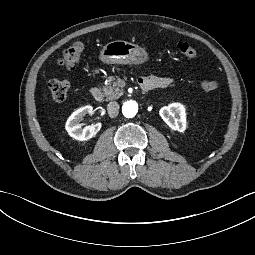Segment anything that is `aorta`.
<instances>
[{"instance_id": "aorta-1", "label": "aorta", "mask_w": 255, "mask_h": 255, "mask_svg": "<svg viewBox=\"0 0 255 255\" xmlns=\"http://www.w3.org/2000/svg\"><path fill=\"white\" fill-rule=\"evenodd\" d=\"M138 112V104L135 101H126L122 106V113L126 118H133Z\"/></svg>"}]
</instances>
